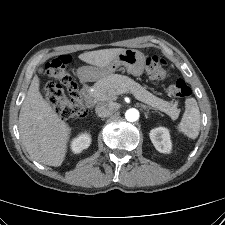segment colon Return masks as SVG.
Returning a JSON list of instances; mask_svg holds the SVG:
<instances>
[{
	"label": "colon",
	"instance_id": "colon-1",
	"mask_svg": "<svg viewBox=\"0 0 225 225\" xmlns=\"http://www.w3.org/2000/svg\"><path fill=\"white\" fill-rule=\"evenodd\" d=\"M70 63L68 55L53 58L46 65L47 74L57 80L48 82L44 89L46 102L64 118H83L87 114L82 95L77 90L71 75L67 71ZM167 63L157 56H150L146 60V71L154 79L165 77ZM63 86L67 89L68 94ZM168 93L174 97L186 99L191 95V89L182 79L176 80L168 87Z\"/></svg>",
	"mask_w": 225,
	"mask_h": 225
}]
</instances>
